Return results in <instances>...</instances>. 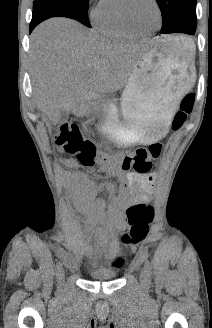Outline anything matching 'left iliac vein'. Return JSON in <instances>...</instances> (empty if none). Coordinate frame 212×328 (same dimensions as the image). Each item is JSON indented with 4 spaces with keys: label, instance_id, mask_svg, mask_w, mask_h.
I'll return each instance as SVG.
<instances>
[{
    "label": "left iliac vein",
    "instance_id": "left-iliac-vein-1",
    "mask_svg": "<svg viewBox=\"0 0 212 328\" xmlns=\"http://www.w3.org/2000/svg\"><path fill=\"white\" fill-rule=\"evenodd\" d=\"M140 281L142 284H146L148 281L145 269H141V271H140Z\"/></svg>",
    "mask_w": 212,
    "mask_h": 328
}]
</instances>
